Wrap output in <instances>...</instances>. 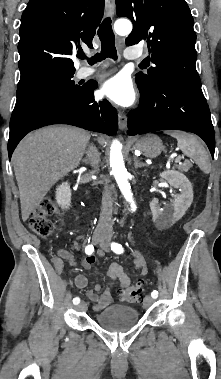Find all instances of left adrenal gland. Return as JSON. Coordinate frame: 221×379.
I'll return each mask as SVG.
<instances>
[{
  "mask_svg": "<svg viewBox=\"0 0 221 379\" xmlns=\"http://www.w3.org/2000/svg\"><path fill=\"white\" fill-rule=\"evenodd\" d=\"M133 160H134V167L135 168L146 166L144 163L140 162L135 156H134Z\"/></svg>",
  "mask_w": 221,
  "mask_h": 379,
  "instance_id": "left-adrenal-gland-1",
  "label": "left adrenal gland"
}]
</instances>
